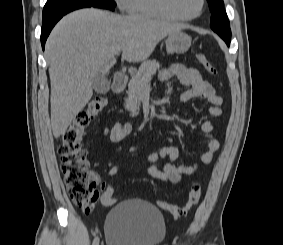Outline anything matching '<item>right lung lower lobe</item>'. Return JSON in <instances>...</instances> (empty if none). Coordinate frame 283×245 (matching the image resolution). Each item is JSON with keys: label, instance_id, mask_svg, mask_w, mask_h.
<instances>
[{"label": "right lung lower lobe", "instance_id": "1", "mask_svg": "<svg viewBox=\"0 0 283 245\" xmlns=\"http://www.w3.org/2000/svg\"><path fill=\"white\" fill-rule=\"evenodd\" d=\"M84 7H98V8H106L110 10H114V7L111 6H105V5H89V6H84ZM84 7H78V8H73L64 12L56 13L53 14L49 17L43 18V24H42V30H41V43H42V48L44 49L46 39L54 27V25L67 13L74 11L76 9L84 8Z\"/></svg>", "mask_w": 283, "mask_h": 245}]
</instances>
